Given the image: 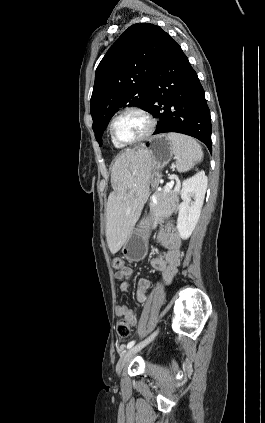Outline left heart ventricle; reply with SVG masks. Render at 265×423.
Returning a JSON list of instances; mask_svg holds the SVG:
<instances>
[{
    "instance_id": "obj_1",
    "label": "left heart ventricle",
    "mask_w": 265,
    "mask_h": 423,
    "mask_svg": "<svg viewBox=\"0 0 265 423\" xmlns=\"http://www.w3.org/2000/svg\"><path fill=\"white\" fill-rule=\"evenodd\" d=\"M147 127V120L142 115L127 113L116 120L114 133L120 141H132L140 137Z\"/></svg>"
}]
</instances>
